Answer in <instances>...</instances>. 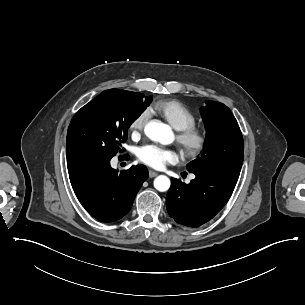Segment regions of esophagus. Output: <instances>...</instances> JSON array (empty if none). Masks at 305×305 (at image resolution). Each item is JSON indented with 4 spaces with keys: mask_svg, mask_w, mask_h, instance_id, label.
Instances as JSON below:
<instances>
[{
    "mask_svg": "<svg viewBox=\"0 0 305 305\" xmlns=\"http://www.w3.org/2000/svg\"><path fill=\"white\" fill-rule=\"evenodd\" d=\"M157 175H158V173H156V172H154L152 170L149 171V177L150 178L156 177Z\"/></svg>",
    "mask_w": 305,
    "mask_h": 305,
    "instance_id": "34e87169",
    "label": "esophagus"
}]
</instances>
